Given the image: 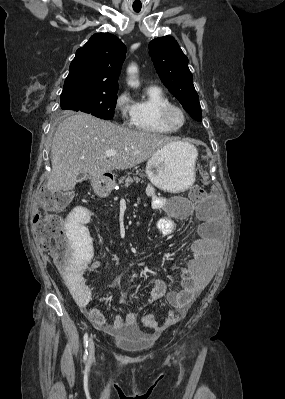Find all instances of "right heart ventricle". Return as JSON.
<instances>
[{
  "label": "right heart ventricle",
  "instance_id": "1",
  "mask_svg": "<svg viewBox=\"0 0 285 399\" xmlns=\"http://www.w3.org/2000/svg\"><path fill=\"white\" fill-rule=\"evenodd\" d=\"M171 103L167 94L158 86H150L146 90V98L134 103L133 126L141 131L152 134H170L172 130L162 124L160 109Z\"/></svg>",
  "mask_w": 285,
  "mask_h": 399
}]
</instances>
